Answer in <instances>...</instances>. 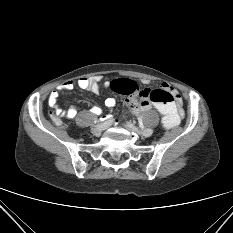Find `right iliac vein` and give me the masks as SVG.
<instances>
[{"instance_id":"1","label":"right iliac vein","mask_w":233,"mask_h":233,"mask_svg":"<svg viewBox=\"0 0 233 233\" xmlns=\"http://www.w3.org/2000/svg\"><path fill=\"white\" fill-rule=\"evenodd\" d=\"M105 128H106V126H99V128H96V126H95V127H93V128L91 129V132H92L95 136H100L101 133H102V131H103Z\"/></svg>"}]
</instances>
